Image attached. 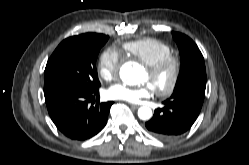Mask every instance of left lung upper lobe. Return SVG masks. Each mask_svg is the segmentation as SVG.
<instances>
[{
  "label": "left lung upper lobe",
  "instance_id": "left-lung-upper-lobe-1",
  "mask_svg": "<svg viewBox=\"0 0 249 165\" xmlns=\"http://www.w3.org/2000/svg\"><path fill=\"white\" fill-rule=\"evenodd\" d=\"M181 56V68L172 95L196 90L205 93L206 69L204 58L197 45L186 35L172 33Z\"/></svg>",
  "mask_w": 249,
  "mask_h": 165
}]
</instances>
